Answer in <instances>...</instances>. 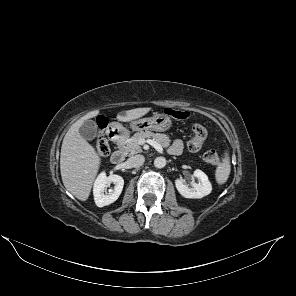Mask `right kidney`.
<instances>
[{"label":"right kidney","mask_w":296,"mask_h":296,"mask_svg":"<svg viewBox=\"0 0 296 296\" xmlns=\"http://www.w3.org/2000/svg\"><path fill=\"white\" fill-rule=\"evenodd\" d=\"M113 183L114 189L110 190L109 193H105L106 188L109 184ZM124 179L116 174L106 176L105 172L99 174L94 182L93 194L94 200L98 207L110 205L115 202L123 189Z\"/></svg>","instance_id":"obj_1"}]
</instances>
